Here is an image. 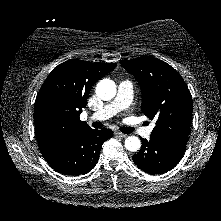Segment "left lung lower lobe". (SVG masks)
Here are the masks:
<instances>
[{
  "label": "left lung lower lobe",
  "instance_id": "1",
  "mask_svg": "<svg viewBox=\"0 0 221 221\" xmlns=\"http://www.w3.org/2000/svg\"><path fill=\"white\" fill-rule=\"evenodd\" d=\"M141 141V150L132 158L141 170L150 174H162L173 169L185 152V147L163 143L153 138Z\"/></svg>",
  "mask_w": 221,
  "mask_h": 221
}]
</instances>
